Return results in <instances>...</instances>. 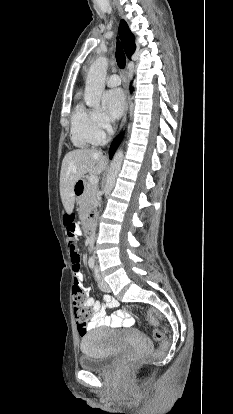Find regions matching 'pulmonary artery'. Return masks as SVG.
Here are the masks:
<instances>
[{"label": "pulmonary artery", "instance_id": "pulmonary-artery-1", "mask_svg": "<svg viewBox=\"0 0 233 414\" xmlns=\"http://www.w3.org/2000/svg\"><path fill=\"white\" fill-rule=\"evenodd\" d=\"M106 84L109 87H115L121 84V78L117 75V74H112L110 75L107 80H106Z\"/></svg>", "mask_w": 233, "mask_h": 414}]
</instances>
